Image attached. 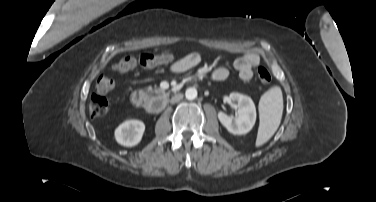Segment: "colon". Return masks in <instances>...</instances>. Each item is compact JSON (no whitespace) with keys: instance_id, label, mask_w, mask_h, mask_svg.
<instances>
[{"instance_id":"5ec220e1","label":"colon","mask_w":376,"mask_h":202,"mask_svg":"<svg viewBox=\"0 0 376 202\" xmlns=\"http://www.w3.org/2000/svg\"><path fill=\"white\" fill-rule=\"evenodd\" d=\"M174 55L169 52L160 54H143L138 57L124 56L113 65L117 73H127L137 67L152 68L161 64H168L174 61ZM257 77L261 83L267 84L271 80V74L265 67H259ZM114 86L113 79L106 75H100L96 82V93L92 94L88 104V113L91 117L103 115L108 109V101L103 96Z\"/></svg>"}]
</instances>
